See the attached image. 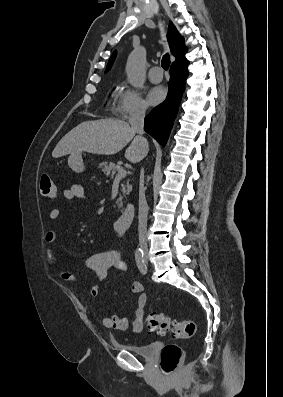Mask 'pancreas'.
Wrapping results in <instances>:
<instances>
[{
    "label": "pancreas",
    "mask_w": 283,
    "mask_h": 397,
    "mask_svg": "<svg viewBox=\"0 0 283 397\" xmlns=\"http://www.w3.org/2000/svg\"><path fill=\"white\" fill-rule=\"evenodd\" d=\"M100 169L102 170V172H104L106 174V176H110L111 178H113V176L115 175V173L121 169V167L119 165H115L114 163L110 162L109 164L107 162H103L100 164ZM122 193L123 194H129L130 193V187L129 186H123L122 187ZM122 196H120L117 199V204L118 207L121 208L123 206L122 203Z\"/></svg>",
    "instance_id": "obj_1"
}]
</instances>
